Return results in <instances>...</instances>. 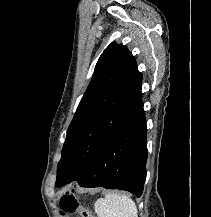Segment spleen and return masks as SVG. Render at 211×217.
I'll use <instances>...</instances> for the list:
<instances>
[{
  "label": "spleen",
  "instance_id": "obj_1",
  "mask_svg": "<svg viewBox=\"0 0 211 217\" xmlns=\"http://www.w3.org/2000/svg\"><path fill=\"white\" fill-rule=\"evenodd\" d=\"M98 217H138L135 202L125 195L116 193L106 194L104 199L95 203Z\"/></svg>",
  "mask_w": 211,
  "mask_h": 217
}]
</instances>
